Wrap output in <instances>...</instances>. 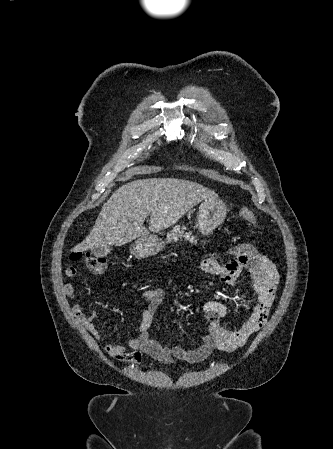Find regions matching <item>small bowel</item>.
Segmentation results:
<instances>
[{
  "instance_id": "1",
  "label": "small bowel",
  "mask_w": 333,
  "mask_h": 449,
  "mask_svg": "<svg viewBox=\"0 0 333 449\" xmlns=\"http://www.w3.org/2000/svg\"><path fill=\"white\" fill-rule=\"evenodd\" d=\"M232 259L220 263L216 255H207L201 261L202 269L211 274L220 275L221 281L228 287L239 284L240 273L247 269L251 275L252 289L257 294V301L247 320L237 329L231 330L221 324V318L226 313V307L220 301L210 300L204 303L203 311L207 315L208 324L204 329L201 341L192 348L162 345L150 336V328L154 321L156 310L162 302L163 289H148L142 294V321L137 328V334L126 344L108 343L104 351L122 364L137 365L144 358L156 362L170 364L175 360L189 363L199 362L208 357L213 350L234 351L242 347L247 339L258 332L267 322L279 284V274L275 265L253 246L241 243L230 249ZM77 269L69 266L65 270L67 277L76 275ZM64 295L74 305L73 315L82 322L91 336L100 341V335L95 327V314L84 316L82 306L72 284L63 287Z\"/></svg>"
}]
</instances>
